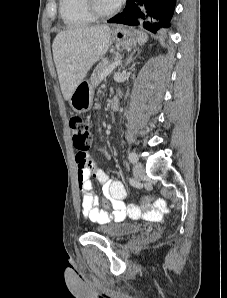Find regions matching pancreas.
<instances>
[{"instance_id": "1", "label": "pancreas", "mask_w": 227, "mask_h": 298, "mask_svg": "<svg viewBox=\"0 0 227 298\" xmlns=\"http://www.w3.org/2000/svg\"><path fill=\"white\" fill-rule=\"evenodd\" d=\"M109 66V61L107 58L102 59V61L97 65V67L94 69L92 75H91V84L93 87H96L99 85L101 79V74L104 72V70Z\"/></svg>"}]
</instances>
